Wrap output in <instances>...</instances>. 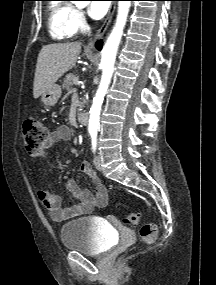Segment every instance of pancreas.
<instances>
[{
    "label": "pancreas",
    "mask_w": 216,
    "mask_h": 285,
    "mask_svg": "<svg viewBox=\"0 0 216 285\" xmlns=\"http://www.w3.org/2000/svg\"><path fill=\"white\" fill-rule=\"evenodd\" d=\"M74 78H78V77L73 73L67 74L64 78L63 88L66 89L68 92H70L72 90V87L74 84V82H73ZM84 103H85V100L83 101L82 106Z\"/></svg>",
    "instance_id": "pancreas-1"
}]
</instances>
